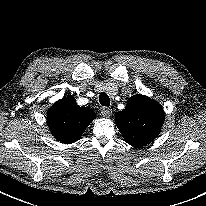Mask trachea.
Masks as SVG:
<instances>
[{"label": "trachea", "mask_w": 206, "mask_h": 206, "mask_svg": "<svg viewBox=\"0 0 206 206\" xmlns=\"http://www.w3.org/2000/svg\"><path fill=\"white\" fill-rule=\"evenodd\" d=\"M99 102L102 106H106V107H109L110 105V99H109V96L102 92L100 95H99Z\"/></svg>", "instance_id": "3493384b"}]
</instances>
